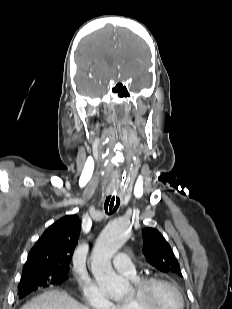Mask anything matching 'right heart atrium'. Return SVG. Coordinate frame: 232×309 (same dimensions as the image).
<instances>
[{
    "label": "right heart atrium",
    "mask_w": 232,
    "mask_h": 309,
    "mask_svg": "<svg viewBox=\"0 0 232 309\" xmlns=\"http://www.w3.org/2000/svg\"><path fill=\"white\" fill-rule=\"evenodd\" d=\"M81 289L85 304L91 309H114V303L97 284L82 283Z\"/></svg>",
    "instance_id": "right-heart-atrium-1"
}]
</instances>
